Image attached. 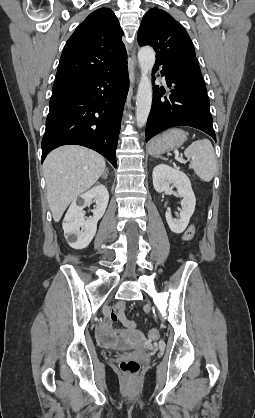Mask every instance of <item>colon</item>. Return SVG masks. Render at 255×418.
Here are the masks:
<instances>
[{
  "label": "colon",
  "instance_id": "5ec220e1",
  "mask_svg": "<svg viewBox=\"0 0 255 418\" xmlns=\"http://www.w3.org/2000/svg\"><path fill=\"white\" fill-rule=\"evenodd\" d=\"M186 235H187V232L184 235V239ZM158 337H159V332L157 330L153 329L149 331V338L151 340H155ZM119 367H120L121 372L125 376L129 378H134L138 375L140 371V362L137 359L127 358V359H123L120 361Z\"/></svg>",
  "mask_w": 255,
  "mask_h": 418
}]
</instances>
